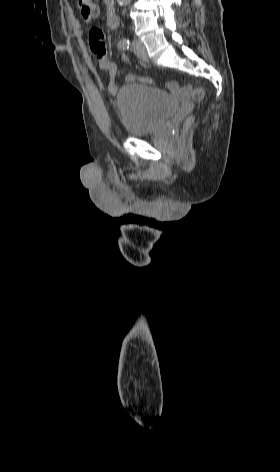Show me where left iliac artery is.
<instances>
[{
    "instance_id": "44dca946",
    "label": "left iliac artery",
    "mask_w": 280,
    "mask_h": 472,
    "mask_svg": "<svg viewBox=\"0 0 280 472\" xmlns=\"http://www.w3.org/2000/svg\"><path fill=\"white\" fill-rule=\"evenodd\" d=\"M129 45H130V41L128 38H123L118 42V48L123 51L128 50Z\"/></svg>"
}]
</instances>
